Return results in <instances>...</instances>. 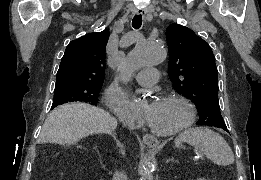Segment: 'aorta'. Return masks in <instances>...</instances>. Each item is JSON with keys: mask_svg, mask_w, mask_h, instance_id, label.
<instances>
[{"mask_svg": "<svg viewBox=\"0 0 261 180\" xmlns=\"http://www.w3.org/2000/svg\"><path fill=\"white\" fill-rule=\"evenodd\" d=\"M167 57V52L162 46L147 41L138 42L133 50L120 63L119 71L125 81L133 75L135 71L145 66H153L163 62ZM129 105L132 109L141 106V102L135 97L127 94ZM140 180H154L153 170L150 163L140 167Z\"/></svg>", "mask_w": 261, "mask_h": 180, "instance_id": "obj_1", "label": "aorta"}]
</instances>
